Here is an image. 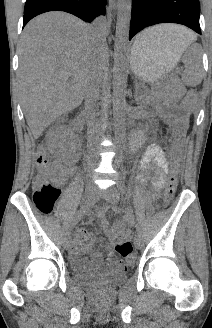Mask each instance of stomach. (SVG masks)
Returning <instances> with one entry per match:
<instances>
[{
    "mask_svg": "<svg viewBox=\"0 0 212 328\" xmlns=\"http://www.w3.org/2000/svg\"><path fill=\"white\" fill-rule=\"evenodd\" d=\"M184 48L180 44L166 40H151L141 48L133 44L131 68L143 81L154 83L171 71L179 61Z\"/></svg>",
    "mask_w": 212,
    "mask_h": 328,
    "instance_id": "0dacf381",
    "label": "stomach"
}]
</instances>
